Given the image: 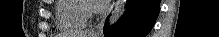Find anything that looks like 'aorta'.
<instances>
[{"instance_id":"1","label":"aorta","mask_w":219,"mask_h":37,"mask_svg":"<svg viewBox=\"0 0 219 37\" xmlns=\"http://www.w3.org/2000/svg\"><path fill=\"white\" fill-rule=\"evenodd\" d=\"M127 1L126 0H116L114 4V10L109 19L110 25L116 23L120 17L123 15L126 9Z\"/></svg>"}]
</instances>
